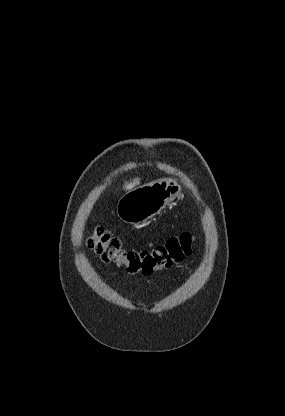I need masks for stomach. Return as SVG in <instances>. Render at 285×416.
Here are the masks:
<instances>
[{
  "instance_id": "obj_1",
  "label": "stomach",
  "mask_w": 285,
  "mask_h": 416,
  "mask_svg": "<svg viewBox=\"0 0 285 416\" xmlns=\"http://www.w3.org/2000/svg\"><path fill=\"white\" fill-rule=\"evenodd\" d=\"M181 186L176 180L162 178L124 194L117 204V216L127 224H142L151 220L170 202L180 196Z\"/></svg>"
}]
</instances>
